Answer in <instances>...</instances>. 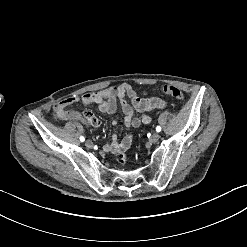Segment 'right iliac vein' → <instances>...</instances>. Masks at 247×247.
Listing matches in <instances>:
<instances>
[{
    "instance_id": "right-iliac-vein-1",
    "label": "right iliac vein",
    "mask_w": 247,
    "mask_h": 247,
    "mask_svg": "<svg viewBox=\"0 0 247 247\" xmlns=\"http://www.w3.org/2000/svg\"><path fill=\"white\" fill-rule=\"evenodd\" d=\"M85 145H86L87 148H92V147H93V142L90 141V140H87V141L85 142Z\"/></svg>"
}]
</instances>
